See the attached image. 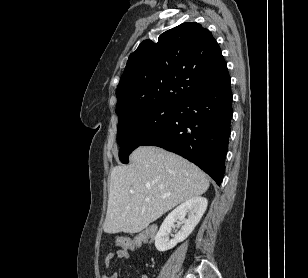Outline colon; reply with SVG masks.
Wrapping results in <instances>:
<instances>
[{
	"mask_svg": "<svg viewBox=\"0 0 308 278\" xmlns=\"http://www.w3.org/2000/svg\"><path fill=\"white\" fill-rule=\"evenodd\" d=\"M158 230V226H146V229L139 235H136L134 240L128 237H118L116 244L120 250H130L132 253H136L143 243L151 242L153 237H157Z\"/></svg>",
	"mask_w": 308,
	"mask_h": 278,
	"instance_id": "colon-1",
	"label": "colon"
}]
</instances>
